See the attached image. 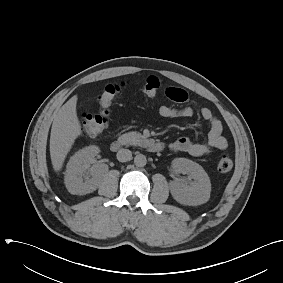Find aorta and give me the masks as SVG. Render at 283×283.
<instances>
[{"label": "aorta", "mask_w": 283, "mask_h": 283, "mask_svg": "<svg viewBox=\"0 0 283 283\" xmlns=\"http://www.w3.org/2000/svg\"><path fill=\"white\" fill-rule=\"evenodd\" d=\"M147 163L146 156L143 154H137L134 158V164L137 167H144Z\"/></svg>", "instance_id": "obj_1"}]
</instances>
